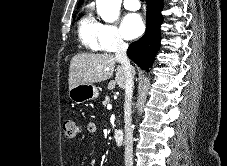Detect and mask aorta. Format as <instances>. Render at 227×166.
Masks as SVG:
<instances>
[{
  "instance_id": "obj_1",
  "label": "aorta",
  "mask_w": 227,
  "mask_h": 166,
  "mask_svg": "<svg viewBox=\"0 0 227 166\" xmlns=\"http://www.w3.org/2000/svg\"><path fill=\"white\" fill-rule=\"evenodd\" d=\"M122 0H96L97 13L105 22H114L119 17Z\"/></svg>"
}]
</instances>
